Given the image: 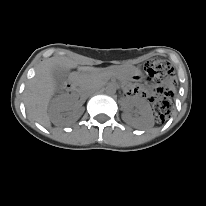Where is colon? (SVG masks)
Masks as SVG:
<instances>
[{"mask_svg": "<svg viewBox=\"0 0 206 206\" xmlns=\"http://www.w3.org/2000/svg\"><path fill=\"white\" fill-rule=\"evenodd\" d=\"M144 71L150 81L160 84L156 95H152L153 113L157 121H164L170 114L173 87L175 83V70L173 65L164 60H150L144 66Z\"/></svg>", "mask_w": 206, "mask_h": 206, "instance_id": "obj_1", "label": "colon"}]
</instances>
